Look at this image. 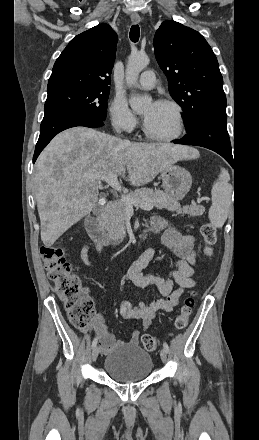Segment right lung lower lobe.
Here are the masks:
<instances>
[{
  "mask_svg": "<svg viewBox=\"0 0 259 440\" xmlns=\"http://www.w3.org/2000/svg\"><path fill=\"white\" fill-rule=\"evenodd\" d=\"M103 125L104 122L101 120L79 114H65L43 119L40 126V136L35 147L33 163L45 146L59 132L75 126L95 128Z\"/></svg>",
  "mask_w": 259,
  "mask_h": 440,
  "instance_id": "right-lung-lower-lobe-1",
  "label": "right lung lower lobe"
}]
</instances>
